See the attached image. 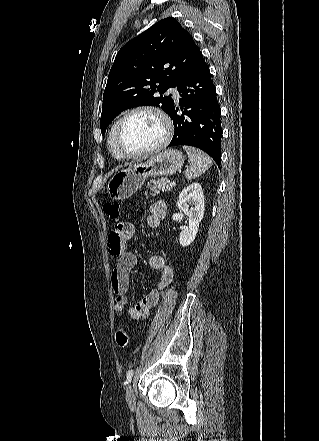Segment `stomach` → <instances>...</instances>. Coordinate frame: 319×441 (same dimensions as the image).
Returning a JSON list of instances; mask_svg holds the SVG:
<instances>
[{"instance_id":"1","label":"stomach","mask_w":319,"mask_h":441,"mask_svg":"<svg viewBox=\"0 0 319 441\" xmlns=\"http://www.w3.org/2000/svg\"><path fill=\"white\" fill-rule=\"evenodd\" d=\"M183 162L182 153L176 149L165 150L145 162H134L111 177L107 192L113 199H127L142 187L148 177L172 175Z\"/></svg>"}]
</instances>
